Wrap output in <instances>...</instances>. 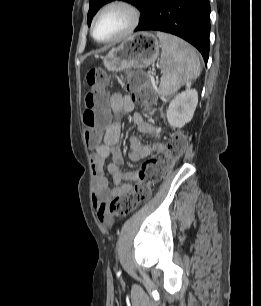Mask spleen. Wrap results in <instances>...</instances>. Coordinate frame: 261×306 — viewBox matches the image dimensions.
Segmentation results:
<instances>
[{
	"label": "spleen",
	"instance_id": "3e777b00",
	"mask_svg": "<svg viewBox=\"0 0 261 306\" xmlns=\"http://www.w3.org/2000/svg\"><path fill=\"white\" fill-rule=\"evenodd\" d=\"M157 37L162 47L159 93L170 96L200 75V61L195 50L182 39L163 32H157Z\"/></svg>",
	"mask_w": 261,
	"mask_h": 306
}]
</instances>
